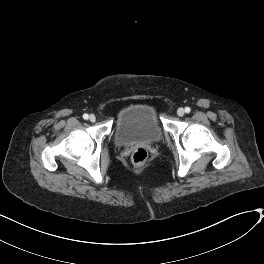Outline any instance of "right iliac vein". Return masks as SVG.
Here are the masks:
<instances>
[{"label": "right iliac vein", "instance_id": "1", "mask_svg": "<svg viewBox=\"0 0 264 264\" xmlns=\"http://www.w3.org/2000/svg\"><path fill=\"white\" fill-rule=\"evenodd\" d=\"M89 120H90L91 122H95V121H96V116L93 115V114H91V115L89 116Z\"/></svg>", "mask_w": 264, "mask_h": 264}]
</instances>
